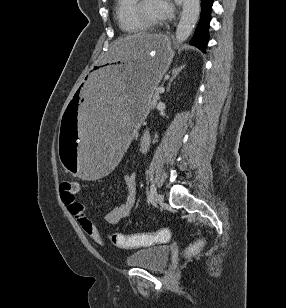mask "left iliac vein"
Instances as JSON below:
<instances>
[{
  "mask_svg": "<svg viewBox=\"0 0 286 308\" xmlns=\"http://www.w3.org/2000/svg\"><path fill=\"white\" fill-rule=\"evenodd\" d=\"M154 201L157 203V204H160L164 201V197L162 194H156L155 195V198H154Z\"/></svg>",
  "mask_w": 286,
  "mask_h": 308,
  "instance_id": "obj_1",
  "label": "left iliac vein"
}]
</instances>
